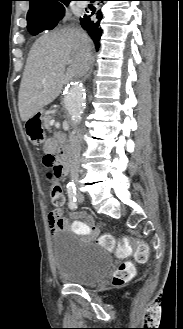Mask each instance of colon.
I'll list each match as a JSON object with an SVG mask.
<instances>
[{"mask_svg":"<svg viewBox=\"0 0 183 329\" xmlns=\"http://www.w3.org/2000/svg\"><path fill=\"white\" fill-rule=\"evenodd\" d=\"M42 168L45 178L50 182V195L55 206H61L64 203V196L60 180L63 175V167L59 165L53 154H46L42 159ZM98 243L108 249H113L116 246L114 238L108 235L98 238ZM118 253L128 254L133 253L135 260L139 263H144L148 259V246L144 243L125 242L118 245ZM134 274V267L129 262H123L113 275L112 283L116 286L123 285L129 281Z\"/></svg>","mask_w":183,"mask_h":329,"instance_id":"colon-1","label":"colon"}]
</instances>
